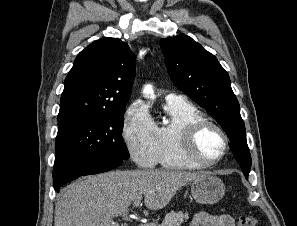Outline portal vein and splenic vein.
Returning <instances> with one entry per match:
<instances>
[{
  "mask_svg": "<svg viewBox=\"0 0 297 226\" xmlns=\"http://www.w3.org/2000/svg\"><path fill=\"white\" fill-rule=\"evenodd\" d=\"M141 200H142V197H137V198L134 200V204H133V206H134V207H137V206L141 203Z\"/></svg>",
  "mask_w": 297,
  "mask_h": 226,
  "instance_id": "1",
  "label": "portal vein and splenic vein"
}]
</instances>
